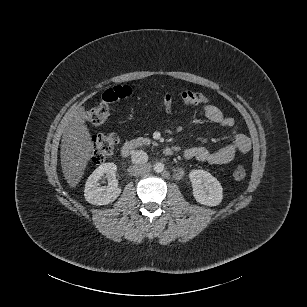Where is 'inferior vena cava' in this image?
<instances>
[{
    "label": "inferior vena cava",
    "instance_id": "1",
    "mask_svg": "<svg viewBox=\"0 0 307 307\" xmlns=\"http://www.w3.org/2000/svg\"><path fill=\"white\" fill-rule=\"evenodd\" d=\"M131 159L135 164H144L148 161V155L143 150H137L132 154Z\"/></svg>",
    "mask_w": 307,
    "mask_h": 307
}]
</instances>
